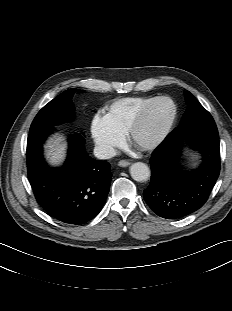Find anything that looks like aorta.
Listing matches in <instances>:
<instances>
[{"mask_svg": "<svg viewBox=\"0 0 232 311\" xmlns=\"http://www.w3.org/2000/svg\"><path fill=\"white\" fill-rule=\"evenodd\" d=\"M130 174L135 181L142 182L150 177V169L145 163L136 162L130 166Z\"/></svg>", "mask_w": 232, "mask_h": 311, "instance_id": "1", "label": "aorta"}]
</instances>
